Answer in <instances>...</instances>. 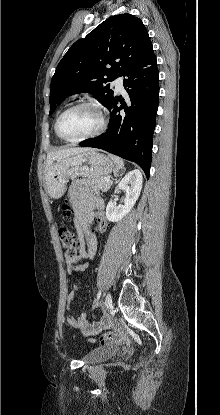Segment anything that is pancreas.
I'll return each mask as SVG.
<instances>
[{
	"instance_id": "pancreas-1",
	"label": "pancreas",
	"mask_w": 220,
	"mask_h": 415,
	"mask_svg": "<svg viewBox=\"0 0 220 415\" xmlns=\"http://www.w3.org/2000/svg\"><path fill=\"white\" fill-rule=\"evenodd\" d=\"M94 187L103 192H107L112 186L113 182H106L105 177L95 178L92 180Z\"/></svg>"
}]
</instances>
